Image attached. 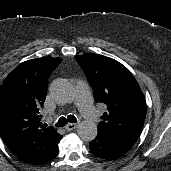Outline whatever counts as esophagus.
<instances>
[{
	"mask_svg": "<svg viewBox=\"0 0 171 171\" xmlns=\"http://www.w3.org/2000/svg\"><path fill=\"white\" fill-rule=\"evenodd\" d=\"M78 127V124L77 123H69L65 126V129L67 131H71V130H74L75 128Z\"/></svg>",
	"mask_w": 171,
	"mask_h": 171,
	"instance_id": "obj_1",
	"label": "esophagus"
}]
</instances>
